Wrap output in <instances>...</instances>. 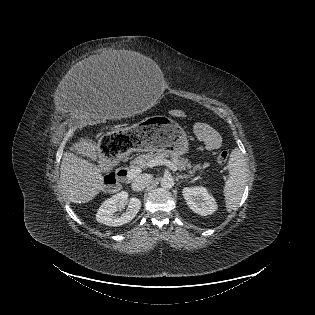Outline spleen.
<instances>
[{"mask_svg": "<svg viewBox=\"0 0 315 315\" xmlns=\"http://www.w3.org/2000/svg\"><path fill=\"white\" fill-rule=\"evenodd\" d=\"M229 176L224 185L225 203L228 212L234 210L243 195L248 165L242 152L234 149L228 162Z\"/></svg>", "mask_w": 315, "mask_h": 315, "instance_id": "obj_1", "label": "spleen"}]
</instances>
